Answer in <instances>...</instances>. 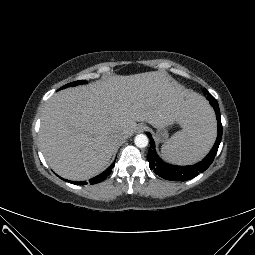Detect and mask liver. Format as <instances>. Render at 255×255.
<instances>
[{"mask_svg":"<svg viewBox=\"0 0 255 255\" xmlns=\"http://www.w3.org/2000/svg\"><path fill=\"white\" fill-rule=\"evenodd\" d=\"M206 101L160 71L110 76L62 90L45 104L39 132L43 155L60 176L80 181L97 175L136 122L186 127ZM120 132L123 139L114 135Z\"/></svg>","mask_w":255,"mask_h":255,"instance_id":"6515ba94","label":"liver"}]
</instances>
